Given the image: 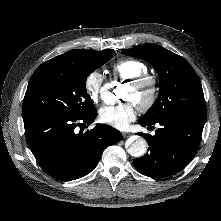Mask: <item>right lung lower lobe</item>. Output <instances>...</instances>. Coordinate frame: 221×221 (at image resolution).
Listing matches in <instances>:
<instances>
[{"instance_id":"right-lung-lower-lobe-1","label":"right lung lower lobe","mask_w":221,"mask_h":221,"mask_svg":"<svg viewBox=\"0 0 221 221\" xmlns=\"http://www.w3.org/2000/svg\"><path fill=\"white\" fill-rule=\"evenodd\" d=\"M96 116L97 111L79 118L23 117L28 146L48 175L62 181L81 178L96 167L109 145L121 140V133L105 124L83 131L82 125L92 123ZM77 126L81 127L79 132Z\"/></svg>"}]
</instances>
